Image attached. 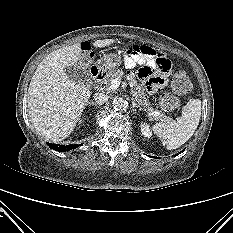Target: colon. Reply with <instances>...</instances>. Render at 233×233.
<instances>
[{
  "label": "colon",
  "mask_w": 233,
  "mask_h": 233,
  "mask_svg": "<svg viewBox=\"0 0 233 233\" xmlns=\"http://www.w3.org/2000/svg\"><path fill=\"white\" fill-rule=\"evenodd\" d=\"M171 86L172 90L176 94H185L189 92L191 88V82L187 73L184 71L176 72L172 79ZM160 104L166 110H173L179 106L180 102L174 95L170 93H164L160 98Z\"/></svg>",
  "instance_id": "5ec220e1"
}]
</instances>
